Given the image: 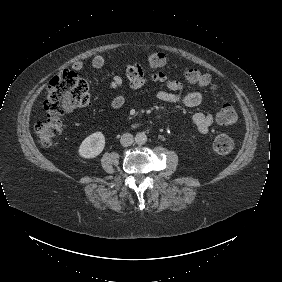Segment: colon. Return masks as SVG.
Listing matches in <instances>:
<instances>
[{
  "label": "colon",
  "mask_w": 282,
  "mask_h": 282,
  "mask_svg": "<svg viewBox=\"0 0 282 282\" xmlns=\"http://www.w3.org/2000/svg\"><path fill=\"white\" fill-rule=\"evenodd\" d=\"M147 63L152 67L165 65V56L161 52H150L146 57ZM189 82L199 86H210L215 88L210 75L202 74L194 69L186 72ZM89 101L88 84L73 71H66L56 76L48 86V95L45 102L47 119L36 125L35 131L42 144L50 145L60 134L61 115L70 108H80L87 105ZM218 121L222 124H235L238 120L236 110L223 104L217 114ZM234 141L226 133L217 134L213 140V149L219 155H226L233 149Z\"/></svg>",
  "instance_id": "1"
}]
</instances>
